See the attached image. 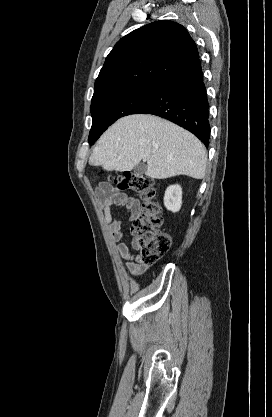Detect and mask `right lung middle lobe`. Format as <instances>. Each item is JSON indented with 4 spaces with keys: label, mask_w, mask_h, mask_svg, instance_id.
Wrapping results in <instances>:
<instances>
[{
    "label": "right lung middle lobe",
    "mask_w": 272,
    "mask_h": 417,
    "mask_svg": "<svg viewBox=\"0 0 272 417\" xmlns=\"http://www.w3.org/2000/svg\"><path fill=\"white\" fill-rule=\"evenodd\" d=\"M159 87L160 85L130 87L92 101L90 109L93 122L89 143L93 144L117 119L133 114L154 95Z\"/></svg>",
    "instance_id": "right-lung-middle-lobe-1"
}]
</instances>
